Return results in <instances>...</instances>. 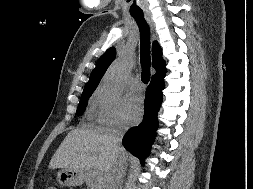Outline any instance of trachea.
<instances>
[{"instance_id":"1","label":"trachea","mask_w":253,"mask_h":189,"mask_svg":"<svg viewBox=\"0 0 253 189\" xmlns=\"http://www.w3.org/2000/svg\"><path fill=\"white\" fill-rule=\"evenodd\" d=\"M132 17L137 22V25L140 30V58L142 66L141 79L144 84H147L150 80V29L146 23L143 14H132Z\"/></svg>"}]
</instances>
